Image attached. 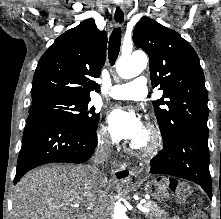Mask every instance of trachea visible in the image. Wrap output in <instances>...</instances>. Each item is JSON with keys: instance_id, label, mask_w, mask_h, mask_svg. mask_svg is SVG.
<instances>
[{"instance_id": "obj_1", "label": "trachea", "mask_w": 221, "mask_h": 219, "mask_svg": "<svg viewBox=\"0 0 221 219\" xmlns=\"http://www.w3.org/2000/svg\"><path fill=\"white\" fill-rule=\"evenodd\" d=\"M121 46V28H116L113 30L110 39H109V46H108V58L111 65H114L116 59L119 55Z\"/></svg>"}]
</instances>
